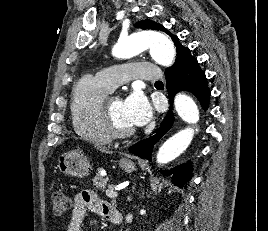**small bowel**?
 Instances as JSON below:
<instances>
[{
	"mask_svg": "<svg viewBox=\"0 0 268 231\" xmlns=\"http://www.w3.org/2000/svg\"><path fill=\"white\" fill-rule=\"evenodd\" d=\"M87 211H93L106 219H110L114 209L101 200L94 191L82 190L74 197L71 207V218L66 231H83L81 224Z\"/></svg>",
	"mask_w": 268,
	"mask_h": 231,
	"instance_id": "small-bowel-1",
	"label": "small bowel"
}]
</instances>
